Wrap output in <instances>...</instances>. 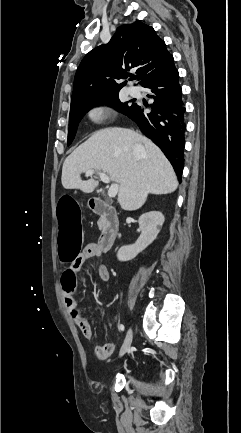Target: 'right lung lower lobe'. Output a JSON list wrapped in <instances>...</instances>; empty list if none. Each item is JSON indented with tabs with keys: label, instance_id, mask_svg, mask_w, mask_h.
<instances>
[{
	"label": "right lung lower lobe",
	"instance_id": "1",
	"mask_svg": "<svg viewBox=\"0 0 241 433\" xmlns=\"http://www.w3.org/2000/svg\"><path fill=\"white\" fill-rule=\"evenodd\" d=\"M178 79L179 73L172 62L161 74L143 85L150 90L148 96L154 100L149 106L151 111L134 104L127 116L164 152L180 181L186 124L182 88Z\"/></svg>",
	"mask_w": 241,
	"mask_h": 433
}]
</instances>
